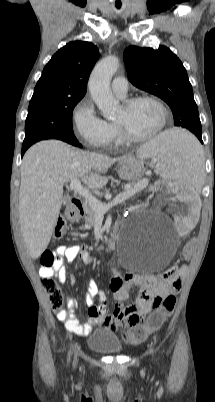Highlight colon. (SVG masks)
Wrapping results in <instances>:
<instances>
[{"instance_id": "1", "label": "colon", "mask_w": 215, "mask_h": 402, "mask_svg": "<svg viewBox=\"0 0 215 402\" xmlns=\"http://www.w3.org/2000/svg\"><path fill=\"white\" fill-rule=\"evenodd\" d=\"M67 231L66 222L60 218L57 220L54 229V236L61 238ZM197 241L190 239L188 245H183L181 248L180 258L182 260H191L193 258V251L196 249ZM66 248H71V243H66ZM56 262L55 254L51 251L45 252L41 257L43 267L51 268ZM178 268H170L166 270L162 276L171 278L179 273ZM43 285L50 297V301L54 311L61 314L64 311V296L59 285L53 278H44ZM175 305V297L167 295L164 297H156L154 299L153 307L157 310L152 313L144 324H137L138 321L124 333V340L128 343H139L143 341L151 332L159 329L164 320L171 314Z\"/></svg>"}]
</instances>
